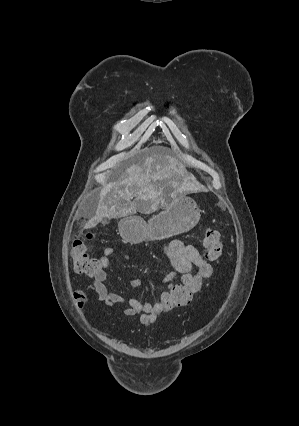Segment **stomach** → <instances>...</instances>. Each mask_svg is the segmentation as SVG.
Wrapping results in <instances>:
<instances>
[{"label":"stomach","instance_id":"0dacf381","mask_svg":"<svg viewBox=\"0 0 299 426\" xmlns=\"http://www.w3.org/2000/svg\"><path fill=\"white\" fill-rule=\"evenodd\" d=\"M199 219L200 211L196 202L187 196H177L148 222L135 216L122 219L120 231L132 243L158 241L191 230Z\"/></svg>","mask_w":299,"mask_h":426}]
</instances>
